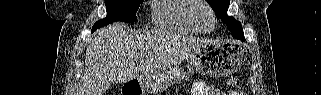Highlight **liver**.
Instances as JSON below:
<instances>
[{"label":"liver","mask_w":321,"mask_h":95,"mask_svg":"<svg viewBox=\"0 0 321 95\" xmlns=\"http://www.w3.org/2000/svg\"><path fill=\"white\" fill-rule=\"evenodd\" d=\"M177 39L169 50L166 39ZM207 40L174 36L162 30L133 34L123 23L96 31L85 55V70L76 95H103L112 83L152 76L190 55ZM140 58L137 66L135 61Z\"/></svg>","instance_id":"6515ba94"}]
</instances>
